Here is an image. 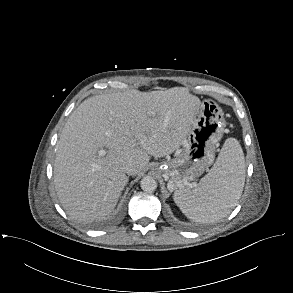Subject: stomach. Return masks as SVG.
<instances>
[{
	"label": "stomach",
	"instance_id": "1",
	"mask_svg": "<svg viewBox=\"0 0 293 293\" xmlns=\"http://www.w3.org/2000/svg\"><path fill=\"white\" fill-rule=\"evenodd\" d=\"M225 121L221 107L204 100L194 123L175 156L160 164L169 191H178L200 177L213 163L217 143L223 136Z\"/></svg>",
	"mask_w": 293,
	"mask_h": 293
}]
</instances>
